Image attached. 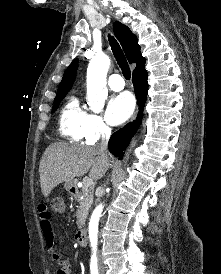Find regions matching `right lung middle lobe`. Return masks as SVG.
Segmentation results:
<instances>
[{"label": "right lung middle lobe", "mask_w": 221, "mask_h": 274, "mask_svg": "<svg viewBox=\"0 0 221 274\" xmlns=\"http://www.w3.org/2000/svg\"><path fill=\"white\" fill-rule=\"evenodd\" d=\"M66 96V94H61L55 97L54 100V106H53V110L52 112H55L58 108V106L60 105L61 100Z\"/></svg>", "instance_id": "1"}]
</instances>
